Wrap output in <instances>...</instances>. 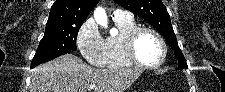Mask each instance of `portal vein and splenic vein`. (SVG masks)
<instances>
[{"mask_svg": "<svg viewBox=\"0 0 225 92\" xmlns=\"http://www.w3.org/2000/svg\"><path fill=\"white\" fill-rule=\"evenodd\" d=\"M95 88H96V86L94 84H90L88 89L92 90V89H95Z\"/></svg>", "mask_w": 225, "mask_h": 92, "instance_id": "portal-vein-and-splenic-vein-1", "label": "portal vein and splenic vein"}]
</instances>
